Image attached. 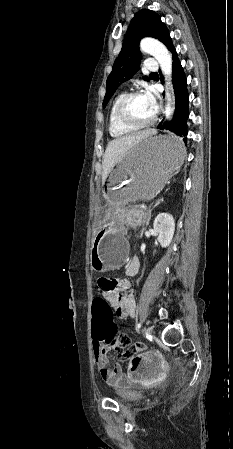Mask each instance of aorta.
Returning a JSON list of instances; mask_svg holds the SVG:
<instances>
[{"label": "aorta", "instance_id": "aorta-1", "mask_svg": "<svg viewBox=\"0 0 233 449\" xmlns=\"http://www.w3.org/2000/svg\"><path fill=\"white\" fill-rule=\"evenodd\" d=\"M140 48L144 53L150 54L155 57L159 62L161 71L165 76L166 81V97L168 104L165 110V116L168 120L171 119L173 114V108L171 107V94L169 89L171 87L172 76V58L167 48L159 41L152 38H145L140 43Z\"/></svg>", "mask_w": 233, "mask_h": 449}]
</instances>
